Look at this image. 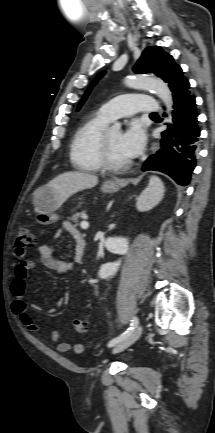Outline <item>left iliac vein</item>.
Wrapping results in <instances>:
<instances>
[{
	"instance_id": "obj_1",
	"label": "left iliac vein",
	"mask_w": 215,
	"mask_h": 433,
	"mask_svg": "<svg viewBox=\"0 0 215 433\" xmlns=\"http://www.w3.org/2000/svg\"><path fill=\"white\" fill-rule=\"evenodd\" d=\"M141 334H142V326L139 324L126 339L121 341L113 348L112 353L117 354L124 351L125 349L130 347L133 343H135L139 339Z\"/></svg>"
}]
</instances>
